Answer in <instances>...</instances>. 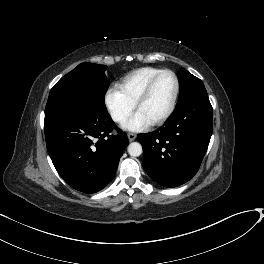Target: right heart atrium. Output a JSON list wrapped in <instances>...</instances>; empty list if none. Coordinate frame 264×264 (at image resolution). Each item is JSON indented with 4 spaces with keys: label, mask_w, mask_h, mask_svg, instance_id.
Wrapping results in <instances>:
<instances>
[{
    "label": "right heart atrium",
    "mask_w": 264,
    "mask_h": 264,
    "mask_svg": "<svg viewBox=\"0 0 264 264\" xmlns=\"http://www.w3.org/2000/svg\"><path fill=\"white\" fill-rule=\"evenodd\" d=\"M105 104L116 123H123L133 112L132 103L118 87H111L105 95Z\"/></svg>",
    "instance_id": "1"
}]
</instances>
